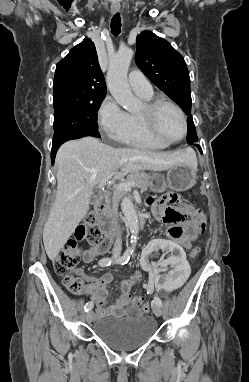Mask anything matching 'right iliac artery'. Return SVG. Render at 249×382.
<instances>
[{"instance_id": "82829eb1", "label": "right iliac artery", "mask_w": 249, "mask_h": 382, "mask_svg": "<svg viewBox=\"0 0 249 382\" xmlns=\"http://www.w3.org/2000/svg\"><path fill=\"white\" fill-rule=\"evenodd\" d=\"M130 254H131L130 251H128V250L125 251L124 254L120 258H118L115 262L118 264H121V265L126 264L130 259ZM111 263H113V259H111V258H102L99 261V265L101 267L110 266ZM92 308H93V302H91V301L87 302L86 305L84 306L85 312L90 311Z\"/></svg>"}]
</instances>
